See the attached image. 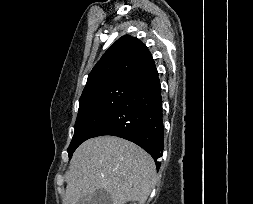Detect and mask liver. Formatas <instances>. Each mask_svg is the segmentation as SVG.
Segmentation results:
<instances>
[{
	"label": "liver",
	"instance_id": "obj_1",
	"mask_svg": "<svg viewBox=\"0 0 253 204\" xmlns=\"http://www.w3.org/2000/svg\"><path fill=\"white\" fill-rule=\"evenodd\" d=\"M66 179L64 204L89 200L98 189L111 195L112 204H144L156 183V167L136 144L107 135L89 139L76 149Z\"/></svg>",
	"mask_w": 253,
	"mask_h": 204
}]
</instances>
